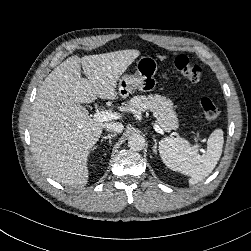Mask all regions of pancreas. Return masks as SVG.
<instances>
[{
	"instance_id": "cf45deb5",
	"label": "pancreas",
	"mask_w": 251,
	"mask_h": 251,
	"mask_svg": "<svg viewBox=\"0 0 251 251\" xmlns=\"http://www.w3.org/2000/svg\"><path fill=\"white\" fill-rule=\"evenodd\" d=\"M128 108L131 110H150L157 118V123L166 132L176 130L179 127L176 113L173 111V103L160 95L134 96Z\"/></svg>"
}]
</instances>
